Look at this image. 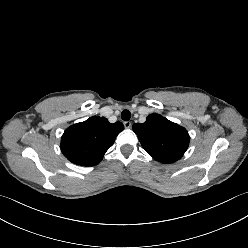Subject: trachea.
Listing matches in <instances>:
<instances>
[{"mask_svg": "<svg viewBox=\"0 0 248 248\" xmlns=\"http://www.w3.org/2000/svg\"><path fill=\"white\" fill-rule=\"evenodd\" d=\"M121 118H122L124 121H128V120L131 118V113H130V111H128V110H123L122 113H121Z\"/></svg>", "mask_w": 248, "mask_h": 248, "instance_id": "trachea-1", "label": "trachea"}]
</instances>
